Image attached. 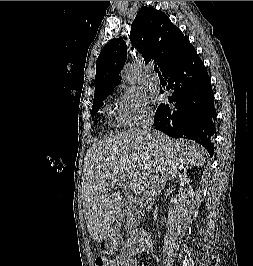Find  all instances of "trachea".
<instances>
[{
	"instance_id": "1",
	"label": "trachea",
	"mask_w": 253,
	"mask_h": 266,
	"mask_svg": "<svg viewBox=\"0 0 253 266\" xmlns=\"http://www.w3.org/2000/svg\"><path fill=\"white\" fill-rule=\"evenodd\" d=\"M154 71H155L156 73L160 74V72H159L158 67H157L156 64L154 65Z\"/></svg>"
}]
</instances>
